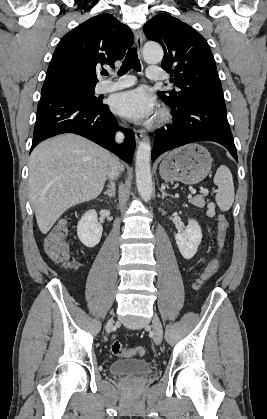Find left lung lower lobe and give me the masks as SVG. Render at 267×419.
<instances>
[{"label": "left lung lower lobe", "instance_id": "1", "mask_svg": "<svg viewBox=\"0 0 267 419\" xmlns=\"http://www.w3.org/2000/svg\"><path fill=\"white\" fill-rule=\"evenodd\" d=\"M172 116L173 124L156 131L153 161L162 153L188 143L214 141L226 147L238 162L225 102H195L172 111Z\"/></svg>", "mask_w": 267, "mask_h": 419}]
</instances>
